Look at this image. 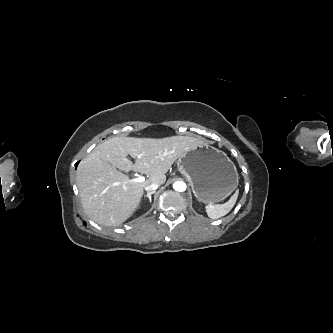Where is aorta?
<instances>
[{"instance_id":"1","label":"aorta","mask_w":333,"mask_h":333,"mask_svg":"<svg viewBox=\"0 0 333 333\" xmlns=\"http://www.w3.org/2000/svg\"><path fill=\"white\" fill-rule=\"evenodd\" d=\"M173 188L175 191L183 192L186 190V184L183 181H177L173 184Z\"/></svg>"}]
</instances>
